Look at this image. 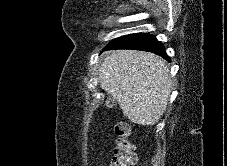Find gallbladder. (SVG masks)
<instances>
[{"mask_svg": "<svg viewBox=\"0 0 227 166\" xmlns=\"http://www.w3.org/2000/svg\"><path fill=\"white\" fill-rule=\"evenodd\" d=\"M106 105L107 107H113L115 105V100L109 96L106 100Z\"/></svg>", "mask_w": 227, "mask_h": 166, "instance_id": "1", "label": "gallbladder"}]
</instances>
